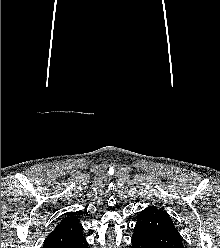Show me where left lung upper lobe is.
Listing matches in <instances>:
<instances>
[{
    "label": "left lung upper lobe",
    "instance_id": "5c2ea615",
    "mask_svg": "<svg viewBox=\"0 0 220 248\" xmlns=\"http://www.w3.org/2000/svg\"><path fill=\"white\" fill-rule=\"evenodd\" d=\"M137 228L161 248H184L181 235L173 224L170 216L156 206H149L138 216Z\"/></svg>",
    "mask_w": 220,
    "mask_h": 248
}]
</instances>
